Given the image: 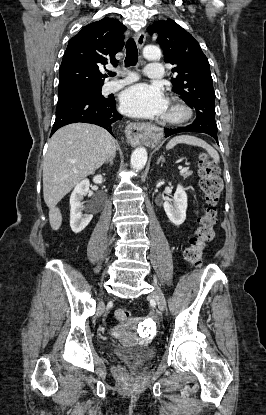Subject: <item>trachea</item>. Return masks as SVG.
<instances>
[{
	"label": "trachea",
	"instance_id": "trachea-1",
	"mask_svg": "<svg viewBox=\"0 0 266 415\" xmlns=\"http://www.w3.org/2000/svg\"><path fill=\"white\" fill-rule=\"evenodd\" d=\"M138 61V49L133 38H129L126 43L125 66H135ZM109 76H115V73L109 72Z\"/></svg>",
	"mask_w": 266,
	"mask_h": 415
}]
</instances>
